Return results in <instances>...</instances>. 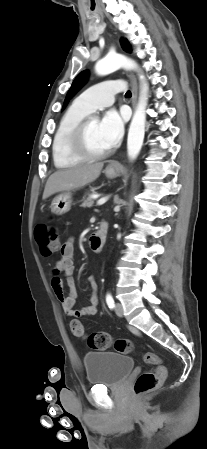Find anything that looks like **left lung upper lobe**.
Listing matches in <instances>:
<instances>
[{"label":"left lung upper lobe","instance_id":"1","mask_svg":"<svg viewBox=\"0 0 207 449\" xmlns=\"http://www.w3.org/2000/svg\"><path fill=\"white\" fill-rule=\"evenodd\" d=\"M121 45L125 51H127V52L131 51L130 44L128 43V41L126 39L121 40ZM88 75H89V73L87 70L78 74V76L73 81L72 86L66 95L63 108L67 105L69 100L76 94V92L83 86V84L87 81Z\"/></svg>","mask_w":207,"mask_h":449}]
</instances>
